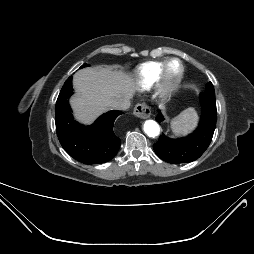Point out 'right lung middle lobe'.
I'll return each mask as SVG.
<instances>
[{"mask_svg":"<svg viewBox=\"0 0 254 254\" xmlns=\"http://www.w3.org/2000/svg\"><path fill=\"white\" fill-rule=\"evenodd\" d=\"M86 66H87V64H84L82 67H86ZM82 67H81V68H82Z\"/></svg>","mask_w":254,"mask_h":254,"instance_id":"right-lung-middle-lobe-1","label":"right lung middle lobe"}]
</instances>
